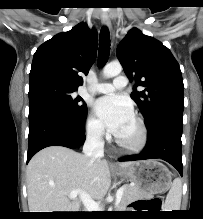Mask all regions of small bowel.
I'll return each instance as SVG.
<instances>
[{
  "mask_svg": "<svg viewBox=\"0 0 203 219\" xmlns=\"http://www.w3.org/2000/svg\"><path fill=\"white\" fill-rule=\"evenodd\" d=\"M138 207H140L139 204H135V205L133 206L134 209H136V208H138Z\"/></svg>",
  "mask_w": 203,
  "mask_h": 219,
  "instance_id": "obj_1",
  "label": "small bowel"
}]
</instances>
